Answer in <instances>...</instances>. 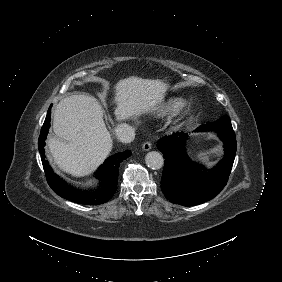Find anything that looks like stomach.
<instances>
[{
  "label": "stomach",
  "mask_w": 282,
  "mask_h": 282,
  "mask_svg": "<svg viewBox=\"0 0 282 282\" xmlns=\"http://www.w3.org/2000/svg\"><path fill=\"white\" fill-rule=\"evenodd\" d=\"M193 144L195 145H201L202 144V140H200L199 138H196L193 142ZM186 157L189 161L193 162L194 161V153H193V147L190 146L186 149L185 151Z\"/></svg>",
  "instance_id": "0dacf381"
}]
</instances>
